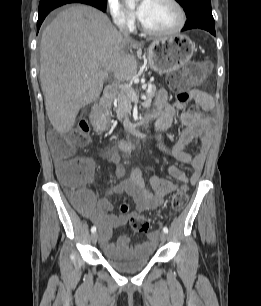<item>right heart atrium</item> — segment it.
I'll return each mask as SVG.
<instances>
[{
	"label": "right heart atrium",
	"mask_w": 261,
	"mask_h": 306,
	"mask_svg": "<svg viewBox=\"0 0 261 306\" xmlns=\"http://www.w3.org/2000/svg\"><path fill=\"white\" fill-rule=\"evenodd\" d=\"M107 6L115 24L121 29H131L134 24L132 16L125 11L119 0H107Z\"/></svg>",
	"instance_id": "d8ad5b80"
}]
</instances>
